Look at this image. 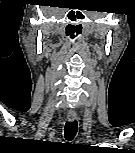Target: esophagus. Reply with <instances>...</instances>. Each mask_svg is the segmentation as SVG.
I'll list each match as a JSON object with an SVG mask.
<instances>
[{
	"label": "esophagus",
	"instance_id": "34e87169",
	"mask_svg": "<svg viewBox=\"0 0 135 153\" xmlns=\"http://www.w3.org/2000/svg\"><path fill=\"white\" fill-rule=\"evenodd\" d=\"M76 118H77V115L75 113H68V115H67V119L69 121H74V120H76Z\"/></svg>",
	"mask_w": 135,
	"mask_h": 153
}]
</instances>
